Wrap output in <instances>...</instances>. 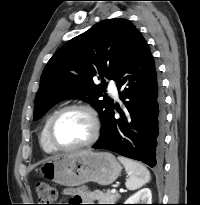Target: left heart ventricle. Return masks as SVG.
I'll return each mask as SVG.
<instances>
[{"label": "left heart ventricle", "instance_id": "1", "mask_svg": "<svg viewBox=\"0 0 200 205\" xmlns=\"http://www.w3.org/2000/svg\"><path fill=\"white\" fill-rule=\"evenodd\" d=\"M91 133V123L87 114L71 110L62 114L53 128V137L61 146H72L86 140Z\"/></svg>", "mask_w": 200, "mask_h": 205}]
</instances>
